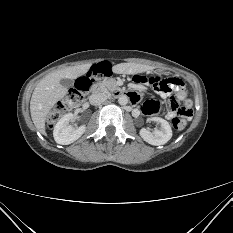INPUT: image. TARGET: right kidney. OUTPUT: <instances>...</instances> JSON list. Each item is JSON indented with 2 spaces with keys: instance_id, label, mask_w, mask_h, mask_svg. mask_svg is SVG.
Wrapping results in <instances>:
<instances>
[{
  "instance_id": "obj_1",
  "label": "right kidney",
  "mask_w": 233,
  "mask_h": 233,
  "mask_svg": "<svg viewBox=\"0 0 233 233\" xmlns=\"http://www.w3.org/2000/svg\"><path fill=\"white\" fill-rule=\"evenodd\" d=\"M74 118V114H65L55 125L53 130V137L56 143L61 145H68L79 139L86 130L85 125L78 128H73L69 122Z\"/></svg>"
}]
</instances>
